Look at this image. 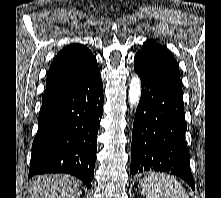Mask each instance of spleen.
Listing matches in <instances>:
<instances>
[{
	"label": "spleen",
	"mask_w": 221,
	"mask_h": 198,
	"mask_svg": "<svg viewBox=\"0 0 221 198\" xmlns=\"http://www.w3.org/2000/svg\"><path fill=\"white\" fill-rule=\"evenodd\" d=\"M140 189L146 198H189L177 179L163 173H153L142 179Z\"/></svg>",
	"instance_id": "spleen-1"
}]
</instances>
